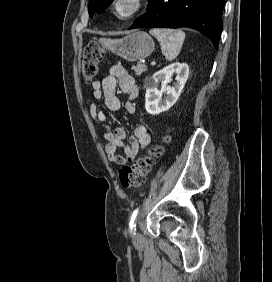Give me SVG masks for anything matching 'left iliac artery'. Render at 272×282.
Returning a JSON list of instances; mask_svg holds the SVG:
<instances>
[{
    "label": "left iliac artery",
    "mask_w": 272,
    "mask_h": 282,
    "mask_svg": "<svg viewBox=\"0 0 272 282\" xmlns=\"http://www.w3.org/2000/svg\"><path fill=\"white\" fill-rule=\"evenodd\" d=\"M137 214H138V209L134 210L132 215H131L130 222H129V227H130L131 231L135 227V223L134 222H135Z\"/></svg>",
    "instance_id": "1"
}]
</instances>
